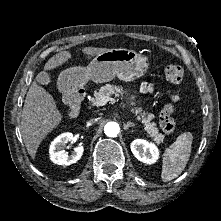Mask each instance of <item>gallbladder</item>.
Segmentation results:
<instances>
[{
	"instance_id": "bac80fb5",
	"label": "gallbladder",
	"mask_w": 221,
	"mask_h": 221,
	"mask_svg": "<svg viewBox=\"0 0 221 221\" xmlns=\"http://www.w3.org/2000/svg\"><path fill=\"white\" fill-rule=\"evenodd\" d=\"M37 81L42 85H47L50 83V76L46 72H40L38 74Z\"/></svg>"
}]
</instances>
